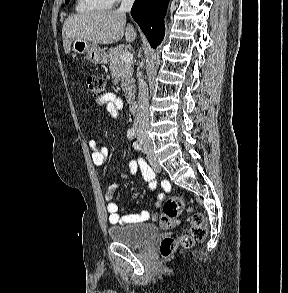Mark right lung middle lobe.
Masks as SVG:
<instances>
[{"mask_svg": "<svg viewBox=\"0 0 288 293\" xmlns=\"http://www.w3.org/2000/svg\"><path fill=\"white\" fill-rule=\"evenodd\" d=\"M69 2V0H66V3H68Z\"/></svg>", "mask_w": 288, "mask_h": 293, "instance_id": "1", "label": "right lung middle lobe"}]
</instances>
